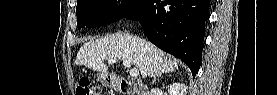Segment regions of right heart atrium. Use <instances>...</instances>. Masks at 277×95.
I'll use <instances>...</instances> for the list:
<instances>
[{"mask_svg":"<svg viewBox=\"0 0 277 95\" xmlns=\"http://www.w3.org/2000/svg\"><path fill=\"white\" fill-rule=\"evenodd\" d=\"M126 7H127V2L126 1H120L116 4V9L117 10H123Z\"/></svg>","mask_w":277,"mask_h":95,"instance_id":"d8ad5b80","label":"right heart atrium"}]
</instances>
